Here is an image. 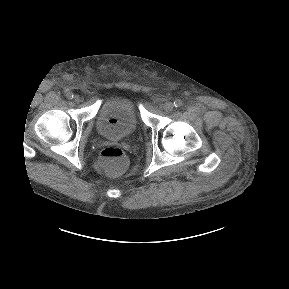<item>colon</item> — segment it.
Wrapping results in <instances>:
<instances>
[{
  "label": "colon",
  "instance_id": "5ec220e1",
  "mask_svg": "<svg viewBox=\"0 0 289 289\" xmlns=\"http://www.w3.org/2000/svg\"><path fill=\"white\" fill-rule=\"evenodd\" d=\"M99 165L107 174L117 176L126 169L127 157L122 149L108 146L100 153Z\"/></svg>",
  "mask_w": 289,
  "mask_h": 289
}]
</instances>
